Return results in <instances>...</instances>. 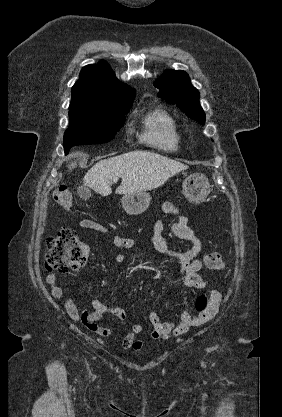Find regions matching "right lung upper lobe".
I'll return each instance as SVG.
<instances>
[{
	"mask_svg": "<svg viewBox=\"0 0 282 417\" xmlns=\"http://www.w3.org/2000/svg\"><path fill=\"white\" fill-rule=\"evenodd\" d=\"M136 90L121 83L105 61L87 65L80 72L79 80L72 87V96H129Z\"/></svg>",
	"mask_w": 282,
	"mask_h": 417,
	"instance_id": "right-lung-upper-lobe-1",
	"label": "right lung upper lobe"
}]
</instances>
